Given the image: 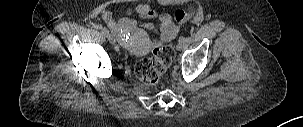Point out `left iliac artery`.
Masks as SVG:
<instances>
[{
    "label": "left iliac artery",
    "mask_w": 303,
    "mask_h": 127,
    "mask_svg": "<svg viewBox=\"0 0 303 127\" xmlns=\"http://www.w3.org/2000/svg\"><path fill=\"white\" fill-rule=\"evenodd\" d=\"M185 40H186V42H187L188 45L192 42L191 37H186Z\"/></svg>",
    "instance_id": "obj_1"
}]
</instances>
